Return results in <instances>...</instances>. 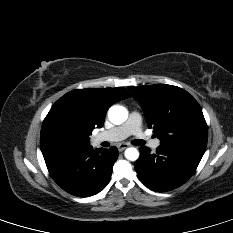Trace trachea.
<instances>
[{"mask_svg": "<svg viewBox=\"0 0 233 233\" xmlns=\"http://www.w3.org/2000/svg\"><path fill=\"white\" fill-rule=\"evenodd\" d=\"M132 144L136 145V146H140V145H143L144 142L142 140L135 139V140L132 141Z\"/></svg>", "mask_w": 233, "mask_h": 233, "instance_id": "obj_1", "label": "trachea"}]
</instances>
